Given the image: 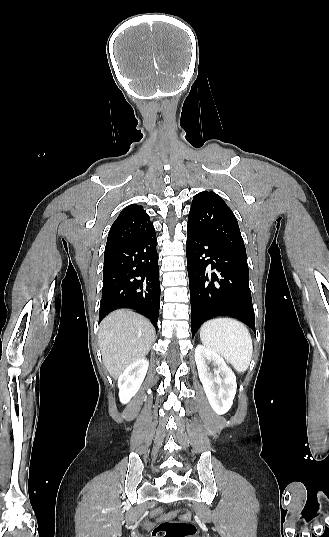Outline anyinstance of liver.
<instances>
[{
    "label": "liver",
    "instance_id": "6515ba94",
    "mask_svg": "<svg viewBox=\"0 0 329 537\" xmlns=\"http://www.w3.org/2000/svg\"><path fill=\"white\" fill-rule=\"evenodd\" d=\"M155 338L150 321L130 310L110 313L100 324L99 347L109 374L117 379L127 366L145 357Z\"/></svg>",
    "mask_w": 329,
    "mask_h": 537
}]
</instances>
